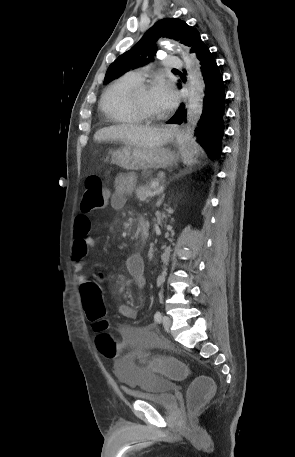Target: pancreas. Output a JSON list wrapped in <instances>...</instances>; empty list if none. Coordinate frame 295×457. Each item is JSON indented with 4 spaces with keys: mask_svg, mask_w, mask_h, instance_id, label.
Returning a JSON list of instances; mask_svg holds the SVG:
<instances>
[{
    "mask_svg": "<svg viewBox=\"0 0 295 457\" xmlns=\"http://www.w3.org/2000/svg\"><path fill=\"white\" fill-rule=\"evenodd\" d=\"M153 182H158V180H151L149 183L139 186L135 190V194L140 201L148 202V199L154 195V189L152 188Z\"/></svg>",
    "mask_w": 295,
    "mask_h": 457,
    "instance_id": "obj_1",
    "label": "pancreas"
}]
</instances>
